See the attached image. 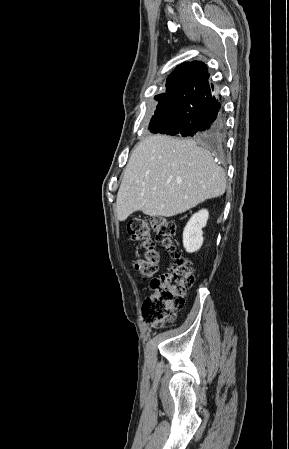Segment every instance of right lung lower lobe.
I'll return each mask as SVG.
<instances>
[{
  "instance_id": "1",
  "label": "right lung lower lobe",
  "mask_w": 289,
  "mask_h": 449,
  "mask_svg": "<svg viewBox=\"0 0 289 449\" xmlns=\"http://www.w3.org/2000/svg\"><path fill=\"white\" fill-rule=\"evenodd\" d=\"M168 100L173 118L158 133L208 138L223 131L221 105L208 79L176 80L168 90Z\"/></svg>"
}]
</instances>
